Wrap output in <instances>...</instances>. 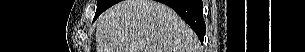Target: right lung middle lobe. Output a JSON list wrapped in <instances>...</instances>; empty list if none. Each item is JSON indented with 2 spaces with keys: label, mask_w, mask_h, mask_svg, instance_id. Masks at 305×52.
I'll use <instances>...</instances> for the list:
<instances>
[{
  "label": "right lung middle lobe",
  "mask_w": 305,
  "mask_h": 52,
  "mask_svg": "<svg viewBox=\"0 0 305 52\" xmlns=\"http://www.w3.org/2000/svg\"><path fill=\"white\" fill-rule=\"evenodd\" d=\"M110 0H98L97 1V10H96V14H95V19H96V16L97 14L99 13L100 10H102L106 5L107 3L109 2Z\"/></svg>",
  "instance_id": "obj_1"
}]
</instances>
